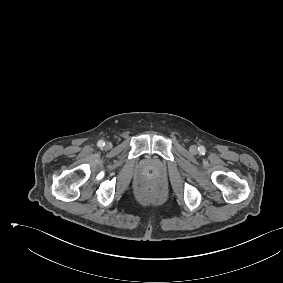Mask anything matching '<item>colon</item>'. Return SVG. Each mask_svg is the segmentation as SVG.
<instances>
[{
    "label": "colon",
    "instance_id": "colon-1",
    "mask_svg": "<svg viewBox=\"0 0 283 283\" xmlns=\"http://www.w3.org/2000/svg\"><path fill=\"white\" fill-rule=\"evenodd\" d=\"M142 195L145 196V197H152L155 195V192L153 189H145L143 192H142Z\"/></svg>",
    "mask_w": 283,
    "mask_h": 283
}]
</instances>
